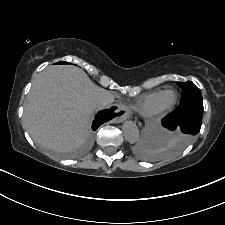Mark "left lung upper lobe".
I'll return each mask as SVG.
<instances>
[{
  "label": "left lung upper lobe",
  "instance_id": "1",
  "mask_svg": "<svg viewBox=\"0 0 225 225\" xmlns=\"http://www.w3.org/2000/svg\"><path fill=\"white\" fill-rule=\"evenodd\" d=\"M178 85L182 87V99L178 107H183L190 104H203L202 94L200 89L191 81L178 82ZM180 142L185 144L192 140L193 137H187L184 134L179 136Z\"/></svg>",
  "mask_w": 225,
  "mask_h": 225
}]
</instances>
